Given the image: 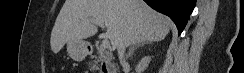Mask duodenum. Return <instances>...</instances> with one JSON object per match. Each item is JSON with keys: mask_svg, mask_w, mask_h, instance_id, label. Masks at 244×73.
Returning <instances> with one entry per match:
<instances>
[{"mask_svg": "<svg viewBox=\"0 0 244 73\" xmlns=\"http://www.w3.org/2000/svg\"><path fill=\"white\" fill-rule=\"evenodd\" d=\"M103 72L104 73H113V71L110 69L109 64H104V66H103Z\"/></svg>", "mask_w": 244, "mask_h": 73, "instance_id": "duodenum-1", "label": "duodenum"}]
</instances>
